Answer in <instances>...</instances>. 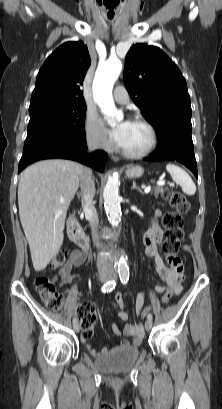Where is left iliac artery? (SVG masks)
I'll list each match as a JSON object with an SVG mask.
<instances>
[{"instance_id":"obj_1","label":"left iliac artery","mask_w":222,"mask_h":409,"mask_svg":"<svg viewBox=\"0 0 222 409\" xmlns=\"http://www.w3.org/2000/svg\"><path fill=\"white\" fill-rule=\"evenodd\" d=\"M119 276H120L121 282H122L123 284H126V283L128 282V280H129V270L126 269V268L121 267V268L119 269ZM147 318H148L149 320H152V319H153L152 314L149 313V314L147 315Z\"/></svg>"}]
</instances>
